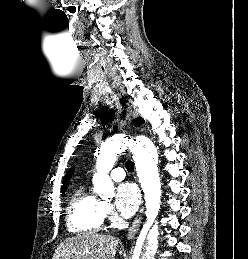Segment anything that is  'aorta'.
<instances>
[{
	"label": "aorta",
	"mask_w": 248,
	"mask_h": 259,
	"mask_svg": "<svg viewBox=\"0 0 248 259\" xmlns=\"http://www.w3.org/2000/svg\"><path fill=\"white\" fill-rule=\"evenodd\" d=\"M129 147L133 153L137 175L144 192L147 222L146 226L154 221L160 210L161 187L158 173V152L153 142L141 137L134 141L124 136H115L103 143L96 160L97 173L93 176L94 191L100 196H108L113 190V183L108 176L114 166L117 154ZM159 230L157 224L152 226L146 237L145 249L142 251L138 240L133 259H154L158 248Z\"/></svg>",
	"instance_id": "aorta-1"
}]
</instances>
